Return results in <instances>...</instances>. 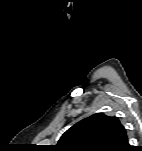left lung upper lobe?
<instances>
[{
    "label": "left lung upper lobe",
    "instance_id": "obj_1",
    "mask_svg": "<svg viewBox=\"0 0 142 151\" xmlns=\"http://www.w3.org/2000/svg\"><path fill=\"white\" fill-rule=\"evenodd\" d=\"M57 147L64 151H127L126 129L117 117L97 113L87 117L60 138Z\"/></svg>",
    "mask_w": 142,
    "mask_h": 151
}]
</instances>
